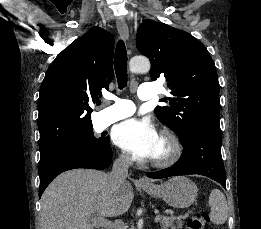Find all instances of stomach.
<instances>
[{
  "mask_svg": "<svg viewBox=\"0 0 261 229\" xmlns=\"http://www.w3.org/2000/svg\"><path fill=\"white\" fill-rule=\"evenodd\" d=\"M145 193L151 197H159L170 207L175 209H187L193 205L198 195V189L195 183H192L187 177H173L167 183L154 185V187H142Z\"/></svg>",
  "mask_w": 261,
  "mask_h": 229,
  "instance_id": "0dacf381",
  "label": "stomach"
}]
</instances>
